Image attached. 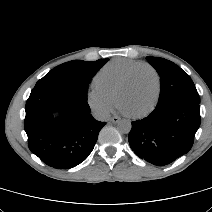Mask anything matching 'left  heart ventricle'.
I'll use <instances>...</instances> for the list:
<instances>
[{"mask_svg": "<svg viewBox=\"0 0 212 212\" xmlns=\"http://www.w3.org/2000/svg\"><path fill=\"white\" fill-rule=\"evenodd\" d=\"M156 93V79L148 69L139 70L128 89L121 97L120 104L129 114H136L146 110L154 100Z\"/></svg>", "mask_w": 212, "mask_h": 212, "instance_id": "b2bd125f", "label": "left heart ventricle"}]
</instances>
